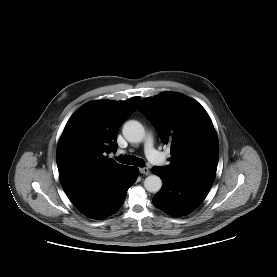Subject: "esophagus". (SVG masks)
<instances>
[{"label": "esophagus", "instance_id": "esophagus-1", "mask_svg": "<svg viewBox=\"0 0 277 277\" xmlns=\"http://www.w3.org/2000/svg\"><path fill=\"white\" fill-rule=\"evenodd\" d=\"M140 173H142L144 175H148V174H150V170L147 167H142V168H140Z\"/></svg>", "mask_w": 277, "mask_h": 277}]
</instances>
